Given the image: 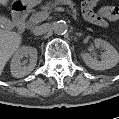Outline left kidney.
<instances>
[{
	"instance_id": "obj_1",
	"label": "left kidney",
	"mask_w": 119,
	"mask_h": 119,
	"mask_svg": "<svg viewBox=\"0 0 119 119\" xmlns=\"http://www.w3.org/2000/svg\"><path fill=\"white\" fill-rule=\"evenodd\" d=\"M96 48L103 50L101 53L102 60L99 61L96 57H92L91 54L86 51L82 52V59L85 64L94 70H106L114 67L119 62V53L117 50L107 41L97 38L94 40Z\"/></svg>"
}]
</instances>
